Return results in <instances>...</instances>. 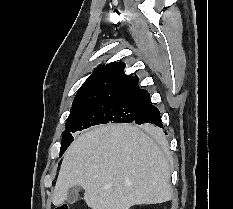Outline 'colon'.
Here are the masks:
<instances>
[{"label": "colon", "mask_w": 233, "mask_h": 209, "mask_svg": "<svg viewBox=\"0 0 233 209\" xmlns=\"http://www.w3.org/2000/svg\"><path fill=\"white\" fill-rule=\"evenodd\" d=\"M56 209H69V207L66 204H62V205H59L58 207H56Z\"/></svg>", "instance_id": "1"}]
</instances>
